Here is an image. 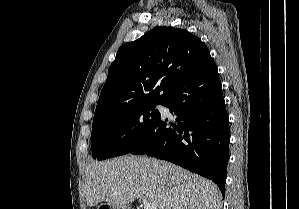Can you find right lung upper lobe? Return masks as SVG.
<instances>
[{
  "label": "right lung upper lobe",
  "mask_w": 299,
  "mask_h": 209,
  "mask_svg": "<svg viewBox=\"0 0 299 209\" xmlns=\"http://www.w3.org/2000/svg\"><path fill=\"white\" fill-rule=\"evenodd\" d=\"M205 69L217 66L200 38L184 29L154 28L119 49L95 115L121 106L164 102L179 83Z\"/></svg>",
  "instance_id": "right-lung-upper-lobe-1"
}]
</instances>
